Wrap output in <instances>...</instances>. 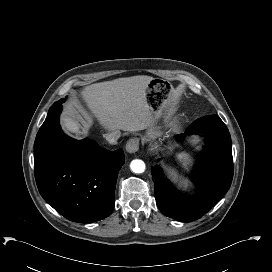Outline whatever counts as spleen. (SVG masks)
Returning a JSON list of instances; mask_svg holds the SVG:
<instances>
[{
	"label": "spleen",
	"instance_id": "spleen-1",
	"mask_svg": "<svg viewBox=\"0 0 272 272\" xmlns=\"http://www.w3.org/2000/svg\"><path fill=\"white\" fill-rule=\"evenodd\" d=\"M178 158L184 161V165H186L187 162L191 159L190 155L186 152H181L180 154H178Z\"/></svg>",
	"mask_w": 272,
	"mask_h": 272
}]
</instances>
